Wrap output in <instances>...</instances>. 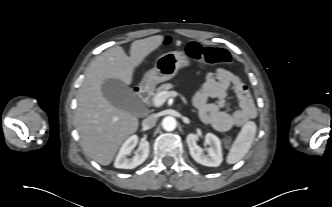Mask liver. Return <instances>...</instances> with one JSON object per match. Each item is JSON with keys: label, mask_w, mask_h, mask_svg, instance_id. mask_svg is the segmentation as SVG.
I'll use <instances>...</instances> for the list:
<instances>
[{"label": "liver", "mask_w": 332, "mask_h": 207, "mask_svg": "<svg viewBox=\"0 0 332 207\" xmlns=\"http://www.w3.org/2000/svg\"><path fill=\"white\" fill-rule=\"evenodd\" d=\"M163 40L162 36H152L132 42L130 57L122 47L114 46L86 68L78 92L75 124L85 154L100 165L107 166L113 161L118 148L139 125L136 116L105 99L101 90L103 81L114 78L130 85L135 69Z\"/></svg>", "instance_id": "liver-1"}]
</instances>
